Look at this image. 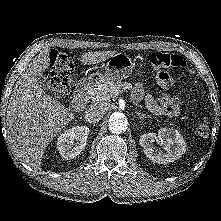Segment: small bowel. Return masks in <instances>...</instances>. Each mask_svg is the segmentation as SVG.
<instances>
[{
  "label": "small bowel",
  "mask_w": 221,
  "mask_h": 221,
  "mask_svg": "<svg viewBox=\"0 0 221 221\" xmlns=\"http://www.w3.org/2000/svg\"><path fill=\"white\" fill-rule=\"evenodd\" d=\"M144 95L142 85L137 83L134 86L132 96L135 100H140ZM145 103L147 108L155 114H166L169 116H175L179 113L180 105L176 96L166 95L160 102H157L151 95L145 96Z\"/></svg>",
  "instance_id": "1"
}]
</instances>
